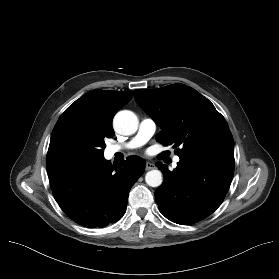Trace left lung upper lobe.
<instances>
[{
    "label": "left lung upper lobe",
    "mask_w": 279,
    "mask_h": 279,
    "mask_svg": "<svg viewBox=\"0 0 279 279\" xmlns=\"http://www.w3.org/2000/svg\"><path fill=\"white\" fill-rule=\"evenodd\" d=\"M136 102L162 129L156 140L174 145L175 154L234 157L228 124L213 104L195 89L173 84L154 90H134Z\"/></svg>",
    "instance_id": "1"
}]
</instances>
